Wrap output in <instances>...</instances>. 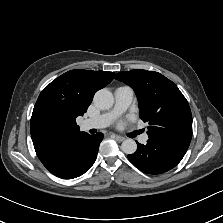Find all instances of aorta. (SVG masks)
Masks as SVG:
<instances>
[{"label": "aorta", "instance_id": "aorta-1", "mask_svg": "<svg viewBox=\"0 0 223 223\" xmlns=\"http://www.w3.org/2000/svg\"><path fill=\"white\" fill-rule=\"evenodd\" d=\"M93 102L99 109L107 110L113 106L114 96L107 88H103L95 93ZM121 149L126 154H133L137 150V144L133 139H126L123 141Z\"/></svg>", "mask_w": 223, "mask_h": 223}]
</instances>
